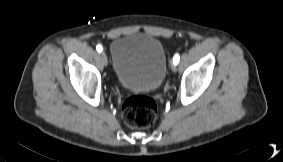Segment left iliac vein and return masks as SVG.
<instances>
[{
	"instance_id": "4c4485c4",
	"label": "left iliac vein",
	"mask_w": 283,
	"mask_h": 162,
	"mask_svg": "<svg viewBox=\"0 0 283 162\" xmlns=\"http://www.w3.org/2000/svg\"><path fill=\"white\" fill-rule=\"evenodd\" d=\"M172 71H173V72H176V71H177V67H176V65H174V64L172 65Z\"/></svg>"
}]
</instances>
